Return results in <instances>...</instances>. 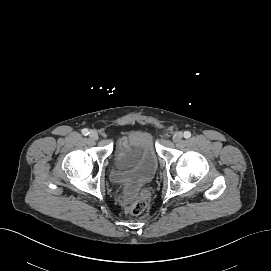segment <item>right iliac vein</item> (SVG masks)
Here are the masks:
<instances>
[{
    "label": "right iliac vein",
    "instance_id": "1",
    "mask_svg": "<svg viewBox=\"0 0 271 271\" xmlns=\"http://www.w3.org/2000/svg\"><path fill=\"white\" fill-rule=\"evenodd\" d=\"M89 137L92 139V140H97L99 135L97 133V131L95 130H91L90 133H89Z\"/></svg>",
    "mask_w": 271,
    "mask_h": 271
}]
</instances>
